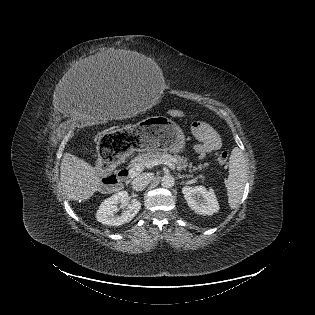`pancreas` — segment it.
Instances as JSON below:
<instances>
[{"instance_id": "pancreas-1", "label": "pancreas", "mask_w": 315, "mask_h": 315, "mask_svg": "<svg viewBox=\"0 0 315 315\" xmlns=\"http://www.w3.org/2000/svg\"><path fill=\"white\" fill-rule=\"evenodd\" d=\"M155 159H167L171 161L179 171L185 170L187 167H189L190 172H192L207 166V164H204L203 166L199 165L198 167H193V169L191 170L192 165L188 164L187 158L179 156L177 154L171 155L167 151H156L139 154L138 156L131 160L129 167L133 168L137 164H142L144 166L145 163Z\"/></svg>"}]
</instances>
